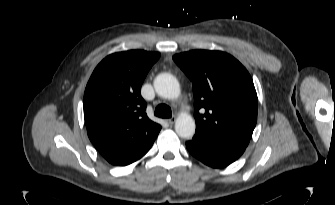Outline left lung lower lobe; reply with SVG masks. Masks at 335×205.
<instances>
[{"instance_id":"left-lung-lower-lobe-1","label":"left lung lower lobe","mask_w":335,"mask_h":205,"mask_svg":"<svg viewBox=\"0 0 335 205\" xmlns=\"http://www.w3.org/2000/svg\"><path fill=\"white\" fill-rule=\"evenodd\" d=\"M186 147L193 156L213 168L231 164L245 151L244 147L224 144L197 134L186 142Z\"/></svg>"}]
</instances>
